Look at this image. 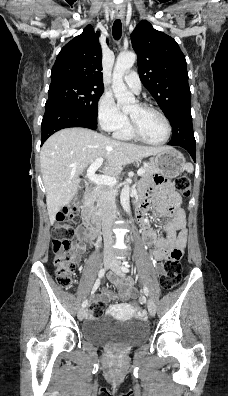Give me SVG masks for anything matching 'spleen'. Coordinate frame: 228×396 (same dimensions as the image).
<instances>
[{
    "label": "spleen",
    "instance_id": "obj_1",
    "mask_svg": "<svg viewBox=\"0 0 228 396\" xmlns=\"http://www.w3.org/2000/svg\"><path fill=\"white\" fill-rule=\"evenodd\" d=\"M184 169H185L188 173H192L193 170H194L193 165H192L191 163L185 164Z\"/></svg>",
    "mask_w": 228,
    "mask_h": 396
}]
</instances>
